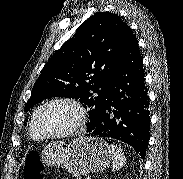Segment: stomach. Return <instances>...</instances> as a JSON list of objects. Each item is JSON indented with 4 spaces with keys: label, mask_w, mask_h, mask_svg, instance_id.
<instances>
[{
    "label": "stomach",
    "mask_w": 183,
    "mask_h": 179,
    "mask_svg": "<svg viewBox=\"0 0 183 179\" xmlns=\"http://www.w3.org/2000/svg\"><path fill=\"white\" fill-rule=\"evenodd\" d=\"M111 159L107 142L98 137H79L68 145L63 141H54L41 153L44 164L65 168L76 177L103 171Z\"/></svg>",
    "instance_id": "0dacf381"
}]
</instances>
